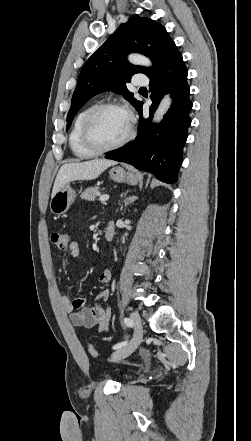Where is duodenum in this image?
Here are the masks:
<instances>
[{"label":"duodenum","mask_w":251,"mask_h":441,"mask_svg":"<svg viewBox=\"0 0 251 441\" xmlns=\"http://www.w3.org/2000/svg\"><path fill=\"white\" fill-rule=\"evenodd\" d=\"M115 226L112 221H109L104 230V238L106 241L110 242L114 238Z\"/></svg>","instance_id":"410a0bca"}]
</instances>
